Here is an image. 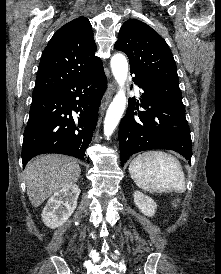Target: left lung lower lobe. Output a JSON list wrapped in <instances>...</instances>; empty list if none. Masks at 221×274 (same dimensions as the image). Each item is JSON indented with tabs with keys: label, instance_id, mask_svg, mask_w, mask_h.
I'll list each match as a JSON object with an SVG mask.
<instances>
[{
	"label": "left lung lower lobe",
	"instance_id": "obj_1",
	"mask_svg": "<svg viewBox=\"0 0 221 274\" xmlns=\"http://www.w3.org/2000/svg\"><path fill=\"white\" fill-rule=\"evenodd\" d=\"M130 72L135 74L133 81L143 93L140 102L129 99L126 115L120 122L121 165L131 155L151 149L176 151L190 163L192 143L181 92L158 84L143 73Z\"/></svg>",
	"mask_w": 221,
	"mask_h": 274
}]
</instances>
